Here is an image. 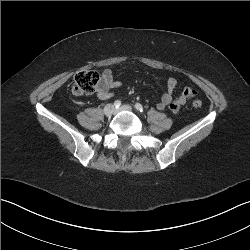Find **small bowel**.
<instances>
[{
	"mask_svg": "<svg viewBox=\"0 0 250 250\" xmlns=\"http://www.w3.org/2000/svg\"><path fill=\"white\" fill-rule=\"evenodd\" d=\"M122 83L114 78L113 71L109 68L104 69L100 84L96 90V96L99 99L105 100L113 97V89L119 88ZM167 92L161 97L157 103L159 110L170 109L173 112H178L183 105L192 99L197 91L191 87H185L179 96H173V90L177 86V80L170 77L166 80Z\"/></svg>",
	"mask_w": 250,
	"mask_h": 250,
	"instance_id": "1",
	"label": "small bowel"
}]
</instances>
